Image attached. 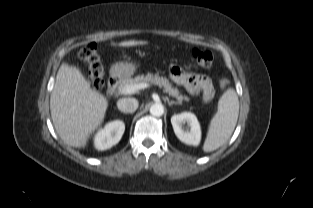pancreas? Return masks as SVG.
Listing matches in <instances>:
<instances>
[{
  "label": "pancreas",
  "mask_w": 313,
  "mask_h": 208,
  "mask_svg": "<svg viewBox=\"0 0 313 208\" xmlns=\"http://www.w3.org/2000/svg\"><path fill=\"white\" fill-rule=\"evenodd\" d=\"M149 82L151 84L158 85L159 87H163V91L168 93L170 96L176 98L180 103L185 100L189 101L187 96H183L179 93L177 88H173L167 78L160 77L158 74H150L148 73L146 76L138 75L135 78H124L120 81L118 85V91L121 93L122 89L127 85H134Z\"/></svg>",
  "instance_id": "pancreas-1"
}]
</instances>
